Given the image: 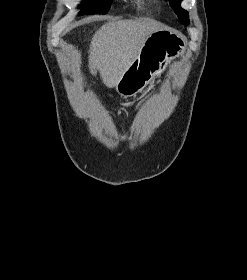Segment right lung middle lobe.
I'll return each mask as SVG.
<instances>
[{
    "instance_id": "right-lung-middle-lobe-1",
    "label": "right lung middle lobe",
    "mask_w": 247,
    "mask_h": 280,
    "mask_svg": "<svg viewBox=\"0 0 247 280\" xmlns=\"http://www.w3.org/2000/svg\"><path fill=\"white\" fill-rule=\"evenodd\" d=\"M112 0H98L94 2H84L80 5L83 10L80 14H106L110 8Z\"/></svg>"
}]
</instances>
